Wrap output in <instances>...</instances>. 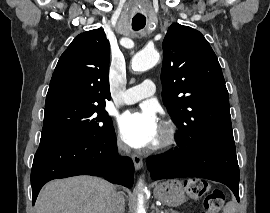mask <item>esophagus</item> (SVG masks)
<instances>
[{
  "label": "esophagus",
  "mask_w": 270,
  "mask_h": 213,
  "mask_svg": "<svg viewBox=\"0 0 270 213\" xmlns=\"http://www.w3.org/2000/svg\"><path fill=\"white\" fill-rule=\"evenodd\" d=\"M132 160H133L135 169L140 170L142 168V166H143L142 157L139 156L138 154H133L132 155Z\"/></svg>",
  "instance_id": "1"
}]
</instances>
